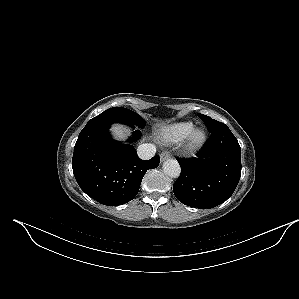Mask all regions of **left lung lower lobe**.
<instances>
[{
	"instance_id": "left-lung-lower-lobe-1",
	"label": "left lung lower lobe",
	"mask_w": 299,
	"mask_h": 299,
	"mask_svg": "<svg viewBox=\"0 0 299 299\" xmlns=\"http://www.w3.org/2000/svg\"><path fill=\"white\" fill-rule=\"evenodd\" d=\"M178 162L181 174L173 185L174 194L181 203L199 209L222 204L241 176L240 145L226 125L211 133L196 157Z\"/></svg>"
}]
</instances>
